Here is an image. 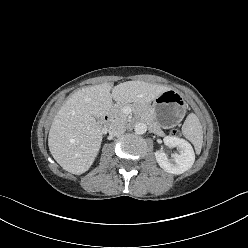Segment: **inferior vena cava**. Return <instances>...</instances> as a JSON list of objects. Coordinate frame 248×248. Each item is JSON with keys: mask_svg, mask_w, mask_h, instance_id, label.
<instances>
[{"mask_svg": "<svg viewBox=\"0 0 248 248\" xmlns=\"http://www.w3.org/2000/svg\"><path fill=\"white\" fill-rule=\"evenodd\" d=\"M108 129L109 133L112 135H121L126 130L125 126L118 121L111 123Z\"/></svg>", "mask_w": 248, "mask_h": 248, "instance_id": "1", "label": "inferior vena cava"}]
</instances>
